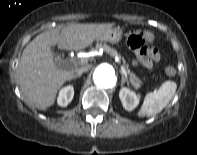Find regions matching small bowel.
Instances as JSON below:
<instances>
[{"label":"small bowel","instance_id":"obj_1","mask_svg":"<svg viewBox=\"0 0 197 155\" xmlns=\"http://www.w3.org/2000/svg\"><path fill=\"white\" fill-rule=\"evenodd\" d=\"M152 38V36H151ZM160 59V56L156 49L152 48L151 51L146 53H140V55L134 59L133 63L135 65H140L146 68H151Z\"/></svg>","mask_w":197,"mask_h":155}]
</instances>
